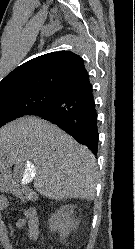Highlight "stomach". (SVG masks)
I'll return each mask as SVG.
<instances>
[{"mask_svg":"<svg viewBox=\"0 0 135 249\" xmlns=\"http://www.w3.org/2000/svg\"><path fill=\"white\" fill-rule=\"evenodd\" d=\"M5 172L6 171L0 168V182H8V177L5 175Z\"/></svg>","mask_w":135,"mask_h":249,"instance_id":"obj_1","label":"stomach"}]
</instances>
